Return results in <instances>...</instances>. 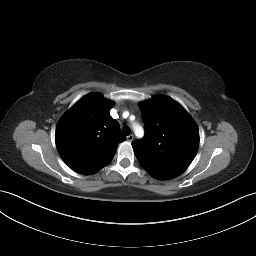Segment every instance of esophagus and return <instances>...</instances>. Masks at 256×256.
I'll use <instances>...</instances> for the list:
<instances>
[{
    "mask_svg": "<svg viewBox=\"0 0 256 256\" xmlns=\"http://www.w3.org/2000/svg\"><path fill=\"white\" fill-rule=\"evenodd\" d=\"M133 139H134V136H133L132 134H130V135L127 136V140H128L129 142H132Z\"/></svg>",
    "mask_w": 256,
    "mask_h": 256,
    "instance_id": "esophagus-1",
    "label": "esophagus"
}]
</instances>
